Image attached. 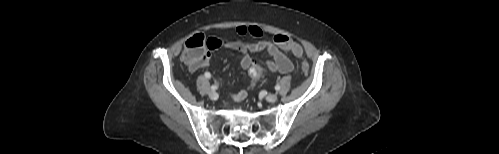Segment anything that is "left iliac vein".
I'll use <instances>...</instances> for the list:
<instances>
[{"mask_svg":"<svg viewBox=\"0 0 499 154\" xmlns=\"http://www.w3.org/2000/svg\"><path fill=\"white\" fill-rule=\"evenodd\" d=\"M277 99H278V96L275 93L269 94L266 97V101L269 102V103H274Z\"/></svg>","mask_w":499,"mask_h":154,"instance_id":"1","label":"left iliac vein"}]
</instances>
